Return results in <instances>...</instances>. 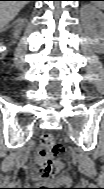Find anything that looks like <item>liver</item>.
Instances as JSON below:
<instances>
[{
  "instance_id": "6515ba94",
  "label": "liver",
  "mask_w": 104,
  "mask_h": 189,
  "mask_svg": "<svg viewBox=\"0 0 104 189\" xmlns=\"http://www.w3.org/2000/svg\"><path fill=\"white\" fill-rule=\"evenodd\" d=\"M27 1H1L0 2V27L1 30L13 20Z\"/></svg>"
}]
</instances>
